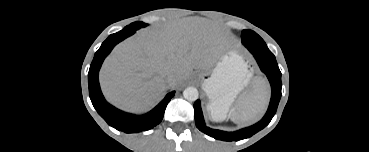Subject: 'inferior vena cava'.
Segmentation results:
<instances>
[{"label": "inferior vena cava", "instance_id": "inferior-vena-cava-1", "mask_svg": "<svg viewBox=\"0 0 369 152\" xmlns=\"http://www.w3.org/2000/svg\"><path fill=\"white\" fill-rule=\"evenodd\" d=\"M172 80H173V75L169 74L167 76V81L170 83V82H172Z\"/></svg>", "mask_w": 369, "mask_h": 152}]
</instances>
